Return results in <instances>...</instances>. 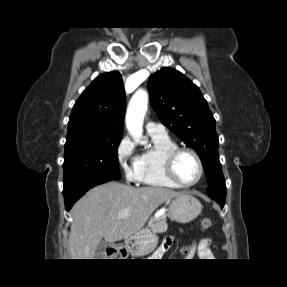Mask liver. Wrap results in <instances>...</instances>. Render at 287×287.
Instances as JSON below:
<instances>
[{
  "mask_svg": "<svg viewBox=\"0 0 287 287\" xmlns=\"http://www.w3.org/2000/svg\"><path fill=\"white\" fill-rule=\"evenodd\" d=\"M179 195L166 188H134L117 182L94 187L71 210V259H95L103 238L110 243L129 238L144 227L161 204ZM125 209L129 215L120 218L119 213Z\"/></svg>",
  "mask_w": 287,
  "mask_h": 287,
  "instance_id": "6515ba94",
  "label": "liver"
}]
</instances>
